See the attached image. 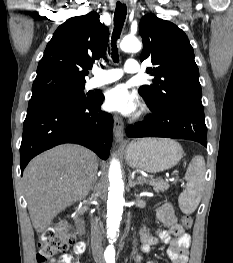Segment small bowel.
<instances>
[{
	"instance_id": "1",
	"label": "small bowel",
	"mask_w": 233,
	"mask_h": 263,
	"mask_svg": "<svg viewBox=\"0 0 233 263\" xmlns=\"http://www.w3.org/2000/svg\"><path fill=\"white\" fill-rule=\"evenodd\" d=\"M158 220L167 227V230H160L156 235H151L146 229H142L140 239V252L136 256L138 263L143 253H149L153 246L160 243L169 245L167 254L172 263H187L189 256V247L191 245L190 235L178 224L173 206L166 202L157 210ZM86 245L84 242H79L74 251L77 255L84 253ZM56 263H74L73 256L63 255ZM147 263H155L148 261Z\"/></svg>"
}]
</instances>
